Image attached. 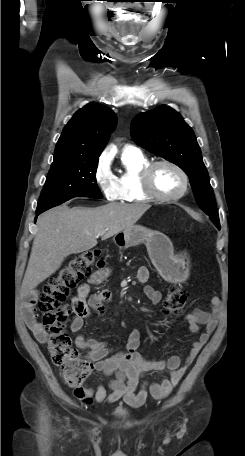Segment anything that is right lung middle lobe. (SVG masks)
<instances>
[{"mask_svg":"<svg viewBox=\"0 0 245 456\" xmlns=\"http://www.w3.org/2000/svg\"><path fill=\"white\" fill-rule=\"evenodd\" d=\"M98 158H73L52 163L36 212H43L74 197L102 198L96 183Z\"/></svg>","mask_w":245,"mask_h":456,"instance_id":"obj_1","label":"right lung middle lobe"}]
</instances>
